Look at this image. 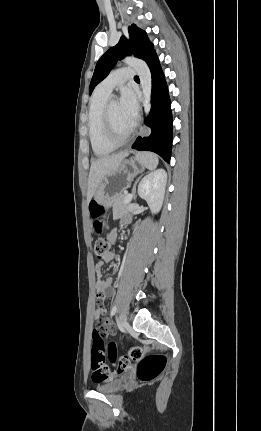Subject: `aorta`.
<instances>
[{"instance_id": "aorta-1", "label": "aorta", "mask_w": 261, "mask_h": 431, "mask_svg": "<svg viewBox=\"0 0 261 431\" xmlns=\"http://www.w3.org/2000/svg\"><path fill=\"white\" fill-rule=\"evenodd\" d=\"M124 63L131 66L137 72L142 87L144 102V113L148 116L151 110V92H152V79L148 65L141 59L135 57H126Z\"/></svg>"}]
</instances>
